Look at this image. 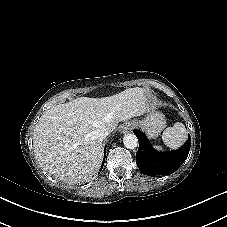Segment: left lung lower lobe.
Returning <instances> with one entry per match:
<instances>
[{"label":"left lung lower lobe","mask_w":227,"mask_h":227,"mask_svg":"<svg viewBox=\"0 0 227 227\" xmlns=\"http://www.w3.org/2000/svg\"><path fill=\"white\" fill-rule=\"evenodd\" d=\"M134 134L138 138L139 149L136 153V163L141 172L148 176L169 175L175 172L186 160L190 146V135L185 144L178 150L171 152H156L147 137L135 130Z\"/></svg>","instance_id":"obj_1"}]
</instances>
